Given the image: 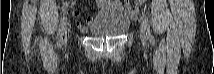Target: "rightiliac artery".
Returning <instances> with one entry per match:
<instances>
[{
    "label": "right iliac artery",
    "mask_w": 214,
    "mask_h": 74,
    "mask_svg": "<svg viewBox=\"0 0 214 74\" xmlns=\"http://www.w3.org/2000/svg\"><path fill=\"white\" fill-rule=\"evenodd\" d=\"M66 21H67V18L65 16L63 18H61L59 29H58L57 45L60 46V47L63 44V35H64V28H65V25H66Z\"/></svg>",
    "instance_id": "right-iliac-artery-1"
}]
</instances>
